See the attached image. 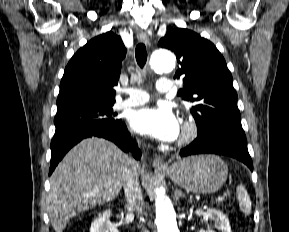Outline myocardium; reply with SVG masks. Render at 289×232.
Segmentation results:
<instances>
[{
    "label": "myocardium",
    "instance_id": "myocardium-1",
    "mask_svg": "<svg viewBox=\"0 0 289 232\" xmlns=\"http://www.w3.org/2000/svg\"><path fill=\"white\" fill-rule=\"evenodd\" d=\"M196 125L191 121H185L182 126L180 143L184 144L191 141L196 135Z\"/></svg>",
    "mask_w": 289,
    "mask_h": 232
}]
</instances>
